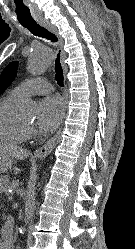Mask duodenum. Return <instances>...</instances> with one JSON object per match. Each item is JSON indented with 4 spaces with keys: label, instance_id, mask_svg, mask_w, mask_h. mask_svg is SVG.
Listing matches in <instances>:
<instances>
[{
    "label": "duodenum",
    "instance_id": "1",
    "mask_svg": "<svg viewBox=\"0 0 135 249\" xmlns=\"http://www.w3.org/2000/svg\"><path fill=\"white\" fill-rule=\"evenodd\" d=\"M11 243L9 241L2 242V249H11Z\"/></svg>",
    "mask_w": 135,
    "mask_h": 249
}]
</instances>
